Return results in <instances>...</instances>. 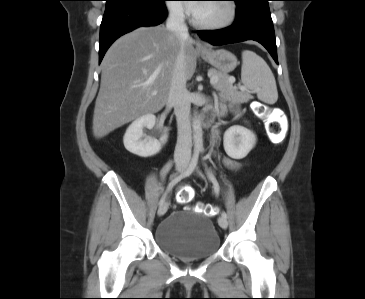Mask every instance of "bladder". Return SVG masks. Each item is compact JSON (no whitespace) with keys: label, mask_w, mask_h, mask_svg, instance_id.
I'll use <instances>...</instances> for the list:
<instances>
[{"label":"bladder","mask_w":365,"mask_h":299,"mask_svg":"<svg viewBox=\"0 0 365 299\" xmlns=\"http://www.w3.org/2000/svg\"><path fill=\"white\" fill-rule=\"evenodd\" d=\"M154 241L164 252L185 260L207 258L220 248L213 221L184 209L174 210L157 225Z\"/></svg>","instance_id":"1"}]
</instances>
